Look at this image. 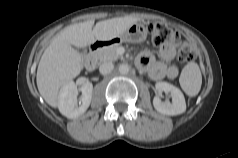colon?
<instances>
[{
  "label": "colon",
  "instance_id": "colon-1",
  "mask_svg": "<svg viewBox=\"0 0 238 158\" xmlns=\"http://www.w3.org/2000/svg\"><path fill=\"white\" fill-rule=\"evenodd\" d=\"M148 30L151 34L152 43L155 46H164L167 43H179L178 60L180 62H191L196 59V52L193 47L182 40L180 33L163 23H150Z\"/></svg>",
  "mask_w": 238,
  "mask_h": 158
}]
</instances>
